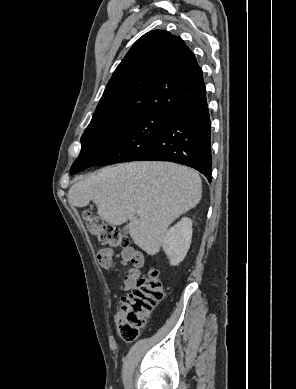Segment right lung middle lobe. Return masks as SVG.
<instances>
[{"label":"right lung middle lobe","mask_w":296,"mask_h":389,"mask_svg":"<svg viewBox=\"0 0 296 389\" xmlns=\"http://www.w3.org/2000/svg\"><path fill=\"white\" fill-rule=\"evenodd\" d=\"M171 120L172 117L158 113L125 112L92 118L71 170L81 164L90 167L136 161Z\"/></svg>","instance_id":"1"}]
</instances>
